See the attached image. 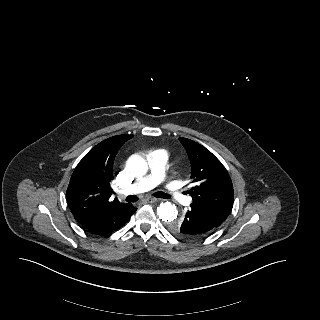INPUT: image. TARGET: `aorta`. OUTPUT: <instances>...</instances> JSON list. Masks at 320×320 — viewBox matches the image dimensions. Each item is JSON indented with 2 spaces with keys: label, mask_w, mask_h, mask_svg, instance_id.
<instances>
[{
  "label": "aorta",
  "mask_w": 320,
  "mask_h": 320,
  "mask_svg": "<svg viewBox=\"0 0 320 320\" xmlns=\"http://www.w3.org/2000/svg\"><path fill=\"white\" fill-rule=\"evenodd\" d=\"M127 168L132 175L141 177L147 173L148 164L141 155L133 154L127 161ZM157 215L163 222L172 223L176 220L178 211L174 204L167 201L157 207Z\"/></svg>",
  "instance_id": "1"
}]
</instances>
